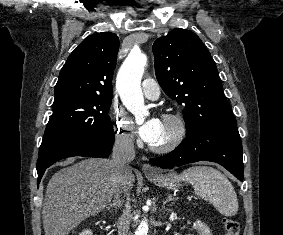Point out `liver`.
<instances>
[{
  "label": "liver",
  "mask_w": 283,
  "mask_h": 235,
  "mask_svg": "<svg viewBox=\"0 0 283 235\" xmlns=\"http://www.w3.org/2000/svg\"><path fill=\"white\" fill-rule=\"evenodd\" d=\"M73 160L63 162V165ZM135 177H125L128 190ZM116 189V173L109 159L87 158L67 166L50 179L42 209L45 235H68L82 221L104 210Z\"/></svg>",
  "instance_id": "obj_1"
}]
</instances>
